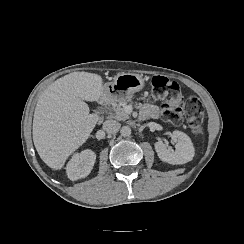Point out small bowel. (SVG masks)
Instances as JSON below:
<instances>
[{
    "label": "small bowel",
    "mask_w": 244,
    "mask_h": 244,
    "mask_svg": "<svg viewBox=\"0 0 244 244\" xmlns=\"http://www.w3.org/2000/svg\"><path fill=\"white\" fill-rule=\"evenodd\" d=\"M141 115L143 118L157 119L161 115L160 108L154 104H146L141 109Z\"/></svg>",
    "instance_id": "1"
}]
</instances>
